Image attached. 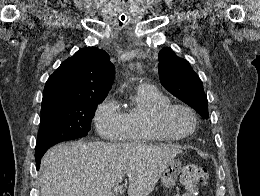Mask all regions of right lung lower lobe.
I'll use <instances>...</instances> for the list:
<instances>
[{
	"mask_svg": "<svg viewBox=\"0 0 260 196\" xmlns=\"http://www.w3.org/2000/svg\"><path fill=\"white\" fill-rule=\"evenodd\" d=\"M48 148L35 150V158H36V164L37 168L40 166L41 158L44 155V153L47 151Z\"/></svg>",
	"mask_w": 260,
	"mask_h": 196,
	"instance_id": "1",
	"label": "right lung lower lobe"
}]
</instances>
